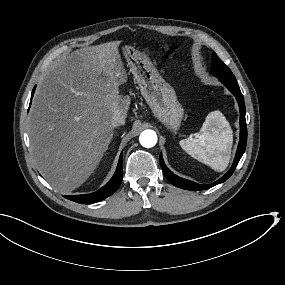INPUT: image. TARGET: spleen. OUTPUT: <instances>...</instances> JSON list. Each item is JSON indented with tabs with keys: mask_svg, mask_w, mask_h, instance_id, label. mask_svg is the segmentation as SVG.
<instances>
[{
	"mask_svg": "<svg viewBox=\"0 0 285 285\" xmlns=\"http://www.w3.org/2000/svg\"><path fill=\"white\" fill-rule=\"evenodd\" d=\"M232 130L219 111L210 112L200 133L179 142L181 148L216 171H224L229 163Z\"/></svg>",
	"mask_w": 285,
	"mask_h": 285,
	"instance_id": "1",
	"label": "spleen"
}]
</instances>
